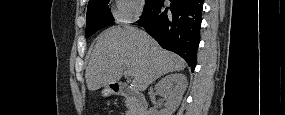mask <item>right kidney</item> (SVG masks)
I'll list each match as a JSON object with an SVG mask.
<instances>
[{"instance_id":"obj_1","label":"right kidney","mask_w":285,"mask_h":115,"mask_svg":"<svg viewBox=\"0 0 285 115\" xmlns=\"http://www.w3.org/2000/svg\"><path fill=\"white\" fill-rule=\"evenodd\" d=\"M187 84V78L184 74H170L162 78L155 85V90L158 95L165 99V108L159 112L154 109H150V114L172 115L180 105Z\"/></svg>"}]
</instances>
